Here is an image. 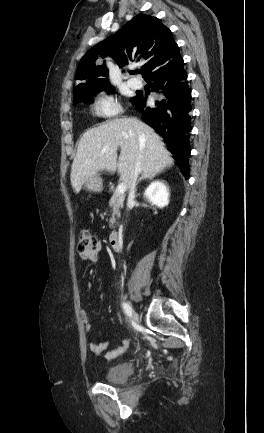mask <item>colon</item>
<instances>
[{
	"label": "colon",
	"instance_id": "obj_1",
	"mask_svg": "<svg viewBox=\"0 0 264 433\" xmlns=\"http://www.w3.org/2000/svg\"><path fill=\"white\" fill-rule=\"evenodd\" d=\"M97 245L96 237L87 230L81 231L77 241V251L80 254L92 251Z\"/></svg>",
	"mask_w": 264,
	"mask_h": 433
}]
</instances>
